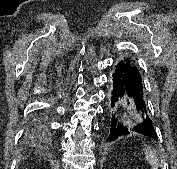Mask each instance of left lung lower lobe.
Instances as JSON below:
<instances>
[{"mask_svg":"<svg viewBox=\"0 0 177 169\" xmlns=\"http://www.w3.org/2000/svg\"><path fill=\"white\" fill-rule=\"evenodd\" d=\"M112 82L111 107L113 108V115L110 133L106 141L112 142L118 137L130 133V130L120 122L119 113L124 106L135 108L142 118L140 123L134 126L132 130L156 139L157 134L144 99L141 68L136 60L131 57L119 60L114 66Z\"/></svg>","mask_w":177,"mask_h":169,"instance_id":"0a47b994","label":"left lung lower lobe"}]
</instances>
